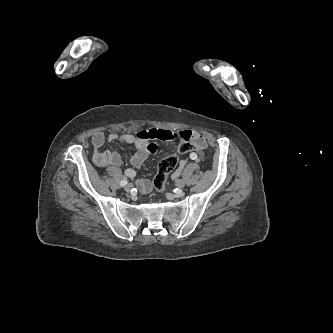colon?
I'll return each instance as SVG.
<instances>
[{"label": "colon", "instance_id": "1", "mask_svg": "<svg viewBox=\"0 0 333 333\" xmlns=\"http://www.w3.org/2000/svg\"><path fill=\"white\" fill-rule=\"evenodd\" d=\"M198 148L189 139H182L177 147V153L164 157L158 164V171L154 178L153 184L158 192L165 190L168 174L176 167L178 155L190 153L193 149Z\"/></svg>", "mask_w": 333, "mask_h": 333}]
</instances>
